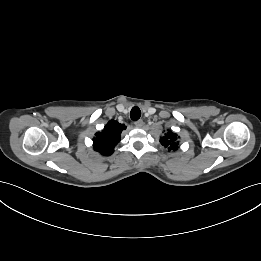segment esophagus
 I'll list each match as a JSON object with an SVG mask.
<instances>
[{"label":"esophagus","instance_id":"obj_1","mask_svg":"<svg viewBox=\"0 0 261 261\" xmlns=\"http://www.w3.org/2000/svg\"><path fill=\"white\" fill-rule=\"evenodd\" d=\"M143 125H144L143 120H138V121L135 122V126L137 128H141V127H143Z\"/></svg>","mask_w":261,"mask_h":261}]
</instances>
